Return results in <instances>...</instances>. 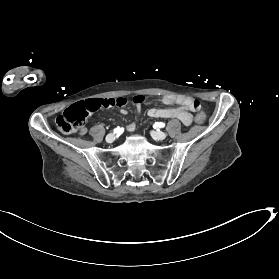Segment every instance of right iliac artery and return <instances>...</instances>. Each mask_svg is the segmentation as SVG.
Instances as JSON below:
<instances>
[{
    "instance_id": "obj_1",
    "label": "right iliac artery",
    "mask_w": 279,
    "mask_h": 279,
    "mask_svg": "<svg viewBox=\"0 0 279 279\" xmlns=\"http://www.w3.org/2000/svg\"><path fill=\"white\" fill-rule=\"evenodd\" d=\"M124 129L123 128H120V127H117L114 129V133L120 135L121 133H123Z\"/></svg>"
}]
</instances>
